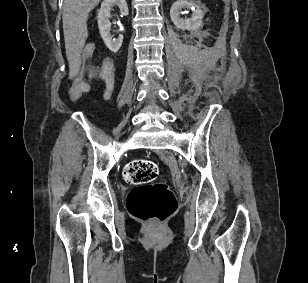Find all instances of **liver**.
Listing matches in <instances>:
<instances>
[{"label": "liver", "instance_id": "liver-1", "mask_svg": "<svg viewBox=\"0 0 308 283\" xmlns=\"http://www.w3.org/2000/svg\"><path fill=\"white\" fill-rule=\"evenodd\" d=\"M101 0H64L63 33L66 56L72 65L80 55L88 37L87 19Z\"/></svg>", "mask_w": 308, "mask_h": 283}]
</instances>
